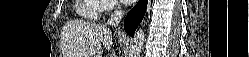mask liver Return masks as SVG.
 Segmentation results:
<instances>
[{
	"label": "liver",
	"instance_id": "6515ba94",
	"mask_svg": "<svg viewBox=\"0 0 249 57\" xmlns=\"http://www.w3.org/2000/svg\"><path fill=\"white\" fill-rule=\"evenodd\" d=\"M64 57H102L103 48L110 50L112 32L105 25L71 21L62 30Z\"/></svg>",
	"mask_w": 249,
	"mask_h": 57
}]
</instances>
